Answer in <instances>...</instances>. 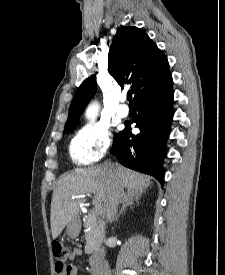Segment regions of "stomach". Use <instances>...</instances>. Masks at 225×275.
<instances>
[{
  "label": "stomach",
  "mask_w": 225,
  "mask_h": 275,
  "mask_svg": "<svg viewBox=\"0 0 225 275\" xmlns=\"http://www.w3.org/2000/svg\"><path fill=\"white\" fill-rule=\"evenodd\" d=\"M80 224L74 219L67 224V234L70 238H76L79 234Z\"/></svg>",
  "instance_id": "0dacf381"
}]
</instances>
